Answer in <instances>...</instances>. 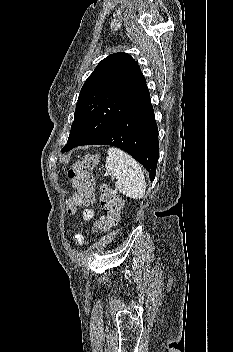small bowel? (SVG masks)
Listing matches in <instances>:
<instances>
[{"mask_svg": "<svg viewBox=\"0 0 233 352\" xmlns=\"http://www.w3.org/2000/svg\"><path fill=\"white\" fill-rule=\"evenodd\" d=\"M93 216V212L91 210L85 211V218L90 219ZM76 242L80 245L82 243V237L81 235L77 234L75 235Z\"/></svg>", "mask_w": 233, "mask_h": 352, "instance_id": "c3829d8e", "label": "small bowel"}]
</instances>
